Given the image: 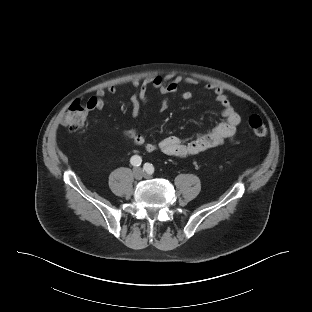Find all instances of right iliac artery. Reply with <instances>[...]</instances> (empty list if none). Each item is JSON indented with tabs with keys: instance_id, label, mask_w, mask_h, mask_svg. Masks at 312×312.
<instances>
[{
	"instance_id": "82829eb1",
	"label": "right iliac artery",
	"mask_w": 312,
	"mask_h": 312,
	"mask_svg": "<svg viewBox=\"0 0 312 312\" xmlns=\"http://www.w3.org/2000/svg\"><path fill=\"white\" fill-rule=\"evenodd\" d=\"M130 162L133 166H140L142 163V159L138 155H134L131 157Z\"/></svg>"
}]
</instances>
